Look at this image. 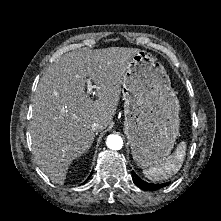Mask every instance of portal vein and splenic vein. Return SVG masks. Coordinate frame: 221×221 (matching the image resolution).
<instances>
[{
    "mask_svg": "<svg viewBox=\"0 0 221 221\" xmlns=\"http://www.w3.org/2000/svg\"><path fill=\"white\" fill-rule=\"evenodd\" d=\"M86 83H87V94H91L92 90L96 88V86L92 85V82L90 79H86Z\"/></svg>",
    "mask_w": 221,
    "mask_h": 221,
    "instance_id": "obj_1",
    "label": "portal vein and splenic vein"
}]
</instances>
